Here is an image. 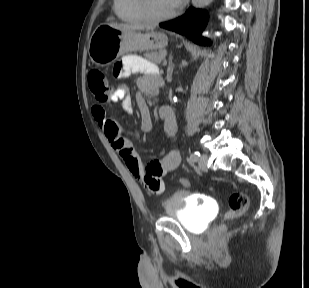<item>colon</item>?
<instances>
[{"label":"colon","instance_id":"colon-1","mask_svg":"<svg viewBox=\"0 0 309 288\" xmlns=\"http://www.w3.org/2000/svg\"><path fill=\"white\" fill-rule=\"evenodd\" d=\"M88 86L89 89L98 101L105 102L110 96V90L107 78L105 74L97 69H93L88 73ZM180 185L183 187H188L190 182L187 178L179 179ZM229 210L227 212L226 218L228 220L236 219L242 216L249 207V198L245 193L234 192L229 196L228 199ZM223 227L218 229V232H221Z\"/></svg>","mask_w":309,"mask_h":288}]
</instances>
